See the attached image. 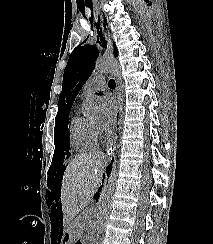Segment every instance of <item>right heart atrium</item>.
Masks as SVG:
<instances>
[{
  "mask_svg": "<svg viewBox=\"0 0 213 244\" xmlns=\"http://www.w3.org/2000/svg\"><path fill=\"white\" fill-rule=\"evenodd\" d=\"M96 128H97L98 133H100L101 128L98 125H96Z\"/></svg>",
  "mask_w": 213,
  "mask_h": 244,
  "instance_id": "1",
  "label": "right heart atrium"
}]
</instances>
